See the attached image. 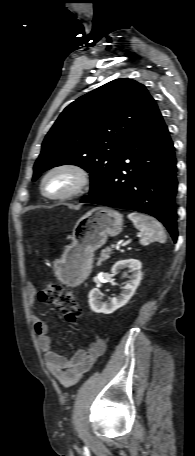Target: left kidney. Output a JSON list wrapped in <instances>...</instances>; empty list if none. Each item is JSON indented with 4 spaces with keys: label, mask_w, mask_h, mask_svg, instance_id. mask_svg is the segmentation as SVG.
<instances>
[{
    "label": "left kidney",
    "mask_w": 195,
    "mask_h": 456,
    "mask_svg": "<svg viewBox=\"0 0 195 456\" xmlns=\"http://www.w3.org/2000/svg\"><path fill=\"white\" fill-rule=\"evenodd\" d=\"M141 267L142 264L137 259H127L116 262L113 265L111 272L115 274L120 269L129 268L132 272L129 282L123 287L121 295L112 298L108 303L102 301V293L99 289H92L88 296L91 310L95 313L111 314L126 305L134 295L142 279Z\"/></svg>",
    "instance_id": "obj_1"
}]
</instances>
